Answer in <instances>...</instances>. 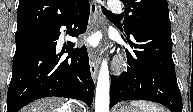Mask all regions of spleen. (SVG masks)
<instances>
[{"label": "spleen", "mask_w": 193, "mask_h": 112, "mask_svg": "<svg viewBox=\"0 0 193 112\" xmlns=\"http://www.w3.org/2000/svg\"><path fill=\"white\" fill-rule=\"evenodd\" d=\"M130 104L139 107L142 112H163L156 104L143 100L132 101Z\"/></svg>", "instance_id": "1"}]
</instances>
